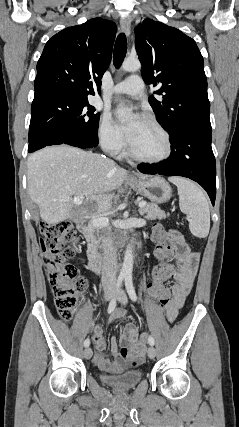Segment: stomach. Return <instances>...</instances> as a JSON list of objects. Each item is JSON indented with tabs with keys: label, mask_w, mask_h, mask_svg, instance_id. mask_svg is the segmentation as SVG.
I'll return each mask as SVG.
<instances>
[{
	"label": "stomach",
	"mask_w": 239,
	"mask_h": 427,
	"mask_svg": "<svg viewBox=\"0 0 239 427\" xmlns=\"http://www.w3.org/2000/svg\"><path fill=\"white\" fill-rule=\"evenodd\" d=\"M138 194L147 197L154 203H165L171 198L170 185L161 177H141L129 182Z\"/></svg>",
	"instance_id": "obj_1"
}]
</instances>
